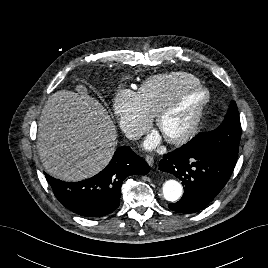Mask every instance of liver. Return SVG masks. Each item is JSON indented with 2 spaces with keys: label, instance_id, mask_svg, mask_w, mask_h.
<instances>
[{
  "label": "liver",
  "instance_id": "6515ba94",
  "mask_svg": "<svg viewBox=\"0 0 268 268\" xmlns=\"http://www.w3.org/2000/svg\"><path fill=\"white\" fill-rule=\"evenodd\" d=\"M52 94L40 116L37 148L46 172L64 181L96 175L117 146L114 122L107 110L86 93Z\"/></svg>",
  "mask_w": 268,
  "mask_h": 268
}]
</instances>
